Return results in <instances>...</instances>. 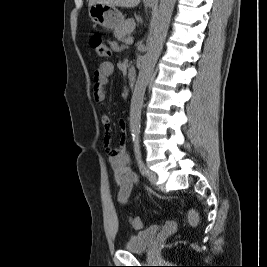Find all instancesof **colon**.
<instances>
[{
    "instance_id": "colon-1",
    "label": "colon",
    "mask_w": 267,
    "mask_h": 267,
    "mask_svg": "<svg viewBox=\"0 0 267 267\" xmlns=\"http://www.w3.org/2000/svg\"><path fill=\"white\" fill-rule=\"evenodd\" d=\"M90 45L95 53L101 58L108 57L111 54L110 47L103 41L100 35H94L90 39ZM187 218L192 225H196L199 221L198 213L193 209L188 211ZM131 224L135 229H141L143 227V221L138 216L131 219Z\"/></svg>"
}]
</instances>
